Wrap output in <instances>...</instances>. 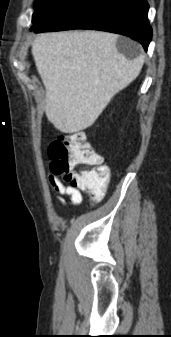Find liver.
I'll return each instance as SVG.
<instances>
[{
	"mask_svg": "<svg viewBox=\"0 0 171 337\" xmlns=\"http://www.w3.org/2000/svg\"><path fill=\"white\" fill-rule=\"evenodd\" d=\"M118 36L98 31L42 33L32 55L46 89L45 113L56 129L90 127L112 97L139 75L144 56L129 60L116 48Z\"/></svg>",
	"mask_w": 171,
	"mask_h": 337,
	"instance_id": "6515ba94",
	"label": "liver"
}]
</instances>
